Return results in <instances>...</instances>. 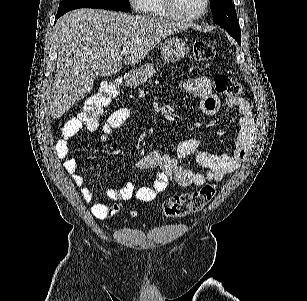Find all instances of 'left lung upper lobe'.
Wrapping results in <instances>:
<instances>
[{"instance_id":"obj_1","label":"left lung upper lobe","mask_w":307,"mask_h":301,"mask_svg":"<svg viewBox=\"0 0 307 301\" xmlns=\"http://www.w3.org/2000/svg\"><path fill=\"white\" fill-rule=\"evenodd\" d=\"M214 22L221 25L239 44L241 30L231 0H210Z\"/></svg>"}]
</instances>
